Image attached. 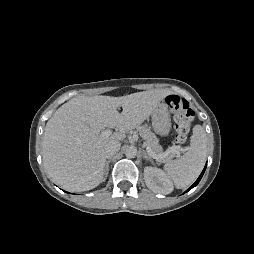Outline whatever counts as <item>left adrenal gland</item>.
I'll use <instances>...</instances> for the list:
<instances>
[{"instance_id": "a2214340", "label": "left adrenal gland", "mask_w": 254, "mask_h": 254, "mask_svg": "<svg viewBox=\"0 0 254 254\" xmlns=\"http://www.w3.org/2000/svg\"><path fill=\"white\" fill-rule=\"evenodd\" d=\"M143 154V158L146 160H149L151 163H153V160L151 159V157L143 150L142 152Z\"/></svg>"}]
</instances>
